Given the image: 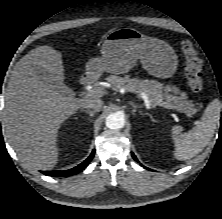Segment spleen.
<instances>
[{
	"label": "spleen",
	"instance_id": "1",
	"mask_svg": "<svg viewBox=\"0 0 222 219\" xmlns=\"http://www.w3.org/2000/svg\"><path fill=\"white\" fill-rule=\"evenodd\" d=\"M222 103L214 99L205 109L201 122L187 133H182L181 126L172 127L175 143V158L188 160L200 153L214 135L220 120Z\"/></svg>",
	"mask_w": 222,
	"mask_h": 219
}]
</instances>
